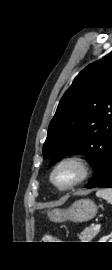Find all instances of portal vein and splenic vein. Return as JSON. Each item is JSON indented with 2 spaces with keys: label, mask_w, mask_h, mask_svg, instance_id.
Returning <instances> with one entry per match:
<instances>
[{
  "label": "portal vein and splenic vein",
  "mask_w": 112,
  "mask_h": 270,
  "mask_svg": "<svg viewBox=\"0 0 112 270\" xmlns=\"http://www.w3.org/2000/svg\"><path fill=\"white\" fill-rule=\"evenodd\" d=\"M100 227H101V225L97 223V224H95V225L93 226V229H94V230H97V229H99Z\"/></svg>",
  "instance_id": "1"
}]
</instances>
